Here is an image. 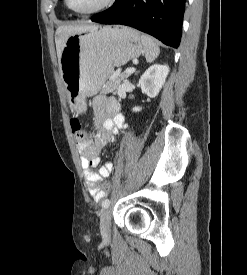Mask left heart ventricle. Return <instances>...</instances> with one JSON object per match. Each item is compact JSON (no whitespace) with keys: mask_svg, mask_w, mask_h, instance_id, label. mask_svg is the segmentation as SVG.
<instances>
[{"mask_svg":"<svg viewBox=\"0 0 247 275\" xmlns=\"http://www.w3.org/2000/svg\"><path fill=\"white\" fill-rule=\"evenodd\" d=\"M71 8L78 11H86L100 5L104 0H68Z\"/></svg>","mask_w":247,"mask_h":275,"instance_id":"b2bd125f","label":"left heart ventricle"}]
</instances>
